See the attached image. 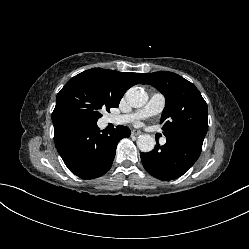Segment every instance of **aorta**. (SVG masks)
I'll return each mask as SVG.
<instances>
[{
    "mask_svg": "<svg viewBox=\"0 0 249 249\" xmlns=\"http://www.w3.org/2000/svg\"><path fill=\"white\" fill-rule=\"evenodd\" d=\"M127 103L134 108L142 107L148 101V94L140 87H131L126 92ZM137 146L142 152H150L154 149L155 140L149 134L140 135Z\"/></svg>",
    "mask_w": 249,
    "mask_h": 249,
    "instance_id": "762f6f07",
    "label": "aorta"
}]
</instances>
